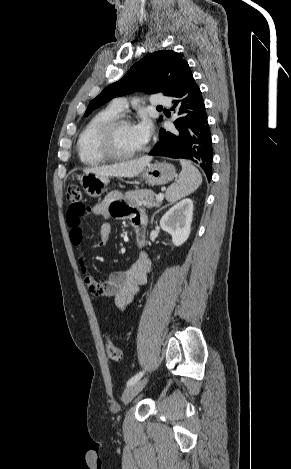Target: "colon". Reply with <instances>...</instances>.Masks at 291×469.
Wrapping results in <instances>:
<instances>
[{
	"mask_svg": "<svg viewBox=\"0 0 291 469\" xmlns=\"http://www.w3.org/2000/svg\"><path fill=\"white\" fill-rule=\"evenodd\" d=\"M67 200L70 202L71 207L79 214L84 216L89 214V208L82 203V192L78 185L72 184L68 187ZM106 352L108 357L113 361H120L122 359L121 349L109 338L106 341Z\"/></svg>",
	"mask_w": 291,
	"mask_h": 469,
	"instance_id": "1",
	"label": "colon"
}]
</instances>
